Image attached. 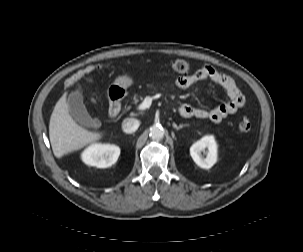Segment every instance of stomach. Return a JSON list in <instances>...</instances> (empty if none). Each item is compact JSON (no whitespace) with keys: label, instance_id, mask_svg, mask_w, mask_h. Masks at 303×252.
<instances>
[{"label":"stomach","instance_id":"stomach-1","mask_svg":"<svg viewBox=\"0 0 303 252\" xmlns=\"http://www.w3.org/2000/svg\"><path fill=\"white\" fill-rule=\"evenodd\" d=\"M133 83L132 79L128 76H119L114 85L119 87L120 89H126L127 87L131 86Z\"/></svg>","mask_w":303,"mask_h":252}]
</instances>
